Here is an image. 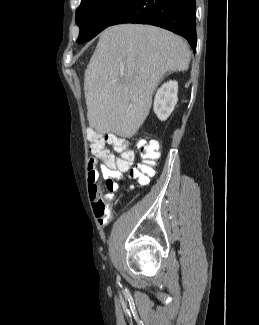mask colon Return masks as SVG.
<instances>
[{"label": "colon", "instance_id": "obj_1", "mask_svg": "<svg viewBox=\"0 0 259 325\" xmlns=\"http://www.w3.org/2000/svg\"><path fill=\"white\" fill-rule=\"evenodd\" d=\"M87 139L90 143V151L97 156H104L108 152L106 144L111 145L121 154L119 167L127 168L129 177L136 179L140 184H147L154 175L155 168L160 157L159 145L155 140H141L136 149L140 155V162L131 167L134 157L133 151L129 149V141L114 134L103 135L94 129L87 130ZM109 191L116 189V184L112 179L107 180Z\"/></svg>", "mask_w": 259, "mask_h": 325}]
</instances>
